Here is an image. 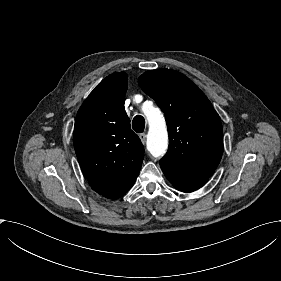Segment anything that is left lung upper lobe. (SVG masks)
<instances>
[{"instance_id":"5c2ea615","label":"left lung upper lobe","mask_w":281,"mask_h":281,"mask_svg":"<svg viewBox=\"0 0 281 281\" xmlns=\"http://www.w3.org/2000/svg\"><path fill=\"white\" fill-rule=\"evenodd\" d=\"M138 83L165 114L169 148L161 160L185 169L215 170L223 153L222 125L204 93L171 69L149 70Z\"/></svg>"}]
</instances>
